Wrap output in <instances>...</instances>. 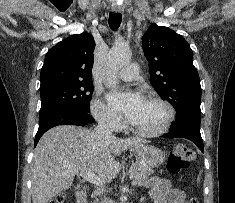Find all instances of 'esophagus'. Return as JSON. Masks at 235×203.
<instances>
[{
    "mask_svg": "<svg viewBox=\"0 0 235 203\" xmlns=\"http://www.w3.org/2000/svg\"><path fill=\"white\" fill-rule=\"evenodd\" d=\"M112 11L115 12V13H122L123 9L120 6L113 4L112 5Z\"/></svg>",
    "mask_w": 235,
    "mask_h": 203,
    "instance_id": "34e87169",
    "label": "esophagus"
}]
</instances>
